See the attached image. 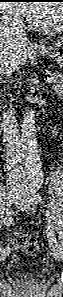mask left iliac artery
Instances as JSON below:
<instances>
[{
  "label": "left iliac artery",
  "mask_w": 63,
  "mask_h": 297,
  "mask_svg": "<svg viewBox=\"0 0 63 297\" xmlns=\"http://www.w3.org/2000/svg\"><path fill=\"white\" fill-rule=\"evenodd\" d=\"M23 198L18 197L19 201H16L17 205H24V204H38L42 202V197L36 193L35 187L31 188L29 190H25L22 192ZM47 216V222H48V228H47V234L49 237V242L52 245H56V240L54 238V230H53V224H52V216L49 212L46 214Z\"/></svg>",
  "instance_id": "left-iliac-artery-1"
}]
</instances>
